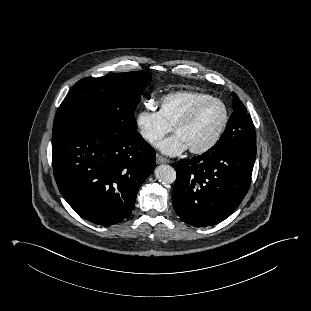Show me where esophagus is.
<instances>
[{
    "label": "esophagus",
    "mask_w": 311,
    "mask_h": 311,
    "mask_svg": "<svg viewBox=\"0 0 311 311\" xmlns=\"http://www.w3.org/2000/svg\"><path fill=\"white\" fill-rule=\"evenodd\" d=\"M170 160H168L167 158H164L163 156L161 155H156V163L157 164H163V163H169Z\"/></svg>",
    "instance_id": "34e87169"
}]
</instances>
